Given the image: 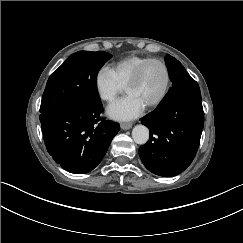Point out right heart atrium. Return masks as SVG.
I'll use <instances>...</instances> for the list:
<instances>
[{"instance_id":"obj_1","label":"right heart atrium","mask_w":243,"mask_h":243,"mask_svg":"<svg viewBox=\"0 0 243 243\" xmlns=\"http://www.w3.org/2000/svg\"><path fill=\"white\" fill-rule=\"evenodd\" d=\"M94 88L98 98L102 101H113L123 92L112 68L108 65H101L94 76Z\"/></svg>"}]
</instances>
